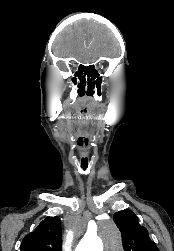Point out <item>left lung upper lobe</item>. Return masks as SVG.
<instances>
[{
  "mask_svg": "<svg viewBox=\"0 0 174 251\" xmlns=\"http://www.w3.org/2000/svg\"><path fill=\"white\" fill-rule=\"evenodd\" d=\"M113 219L122 233L124 251H159L147 229L139 225L137 216L131 210L119 211Z\"/></svg>",
  "mask_w": 174,
  "mask_h": 251,
  "instance_id": "obj_1",
  "label": "left lung upper lobe"
}]
</instances>
